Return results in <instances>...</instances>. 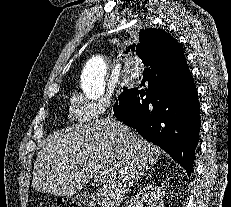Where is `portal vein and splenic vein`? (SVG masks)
Returning <instances> with one entry per match:
<instances>
[{"label":"portal vein and splenic vein","mask_w":231,"mask_h":207,"mask_svg":"<svg viewBox=\"0 0 231 207\" xmlns=\"http://www.w3.org/2000/svg\"><path fill=\"white\" fill-rule=\"evenodd\" d=\"M99 180L98 179H95L94 182H98Z\"/></svg>","instance_id":"1"}]
</instances>
